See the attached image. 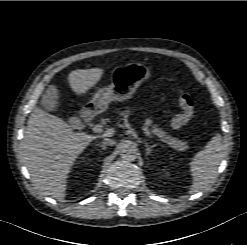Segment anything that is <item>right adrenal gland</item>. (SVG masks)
I'll use <instances>...</instances> for the list:
<instances>
[{
  "label": "right adrenal gland",
  "instance_id": "right-adrenal-gland-1",
  "mask_svg": "<svg viewBox=\"0 0 247 245\" xmlns=\"http://www.w3.org/2000/svg\"><path fill=\"white\" fill-rule=\"evenodd\" d=\"M97 146H98V147H101V148H102V150H105V149H106V147H107V145H104V144H98Z\"/></svg>",
  "mask_w": 247,
  "mask_h": 245
}]
</instances>
